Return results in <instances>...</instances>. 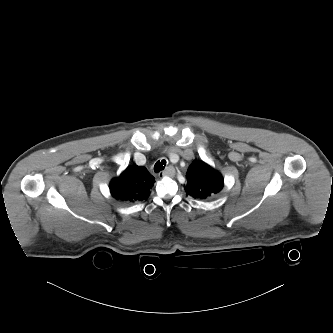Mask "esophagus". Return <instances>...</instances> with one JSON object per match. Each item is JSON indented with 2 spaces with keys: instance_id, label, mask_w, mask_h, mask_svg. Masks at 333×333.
<instances>
[{
  "instance_id": "esophagus-1",
  "label": "esophagus",
  "mask_w": 333,
  "mask_h": 333,
  "mask_svg": "<svg viewBox=\"0 0 333 333\" xmlns=\"http://www.w3.org/2000/svg\"><path fill=\"white\" fill-rule=\"evenodd\" d=\"M158 176L161 177H174L175 168L173 166H168L164 171L160 172Z\"/></svg>"
}]
</instances>
